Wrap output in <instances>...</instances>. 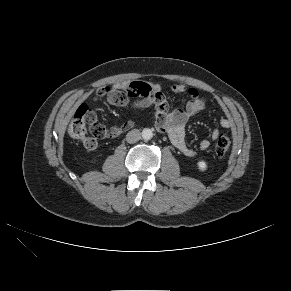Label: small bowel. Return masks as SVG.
<instances>
[{"instance_id":"1","label":"small bowel","mask_w":291,"mask_h":291,"mask_svg":"<svg viewBox=\"0 0 291 291\" xmlns=\"http://www.w3.org/2000/svg\"><path fill=\"white\" fill-rule=\"evenodd\" d=\"M170 92L185 94L189 101L184 108L170 111L165 93L158 85H149L139 81H124L115 83L111 87L101 88L97 91L96 97L105 96L107 103L117 107L145 108L154 105L156 108L155 127L159 132L168 134L171 143L185 156L192 157L195 151L186 142L185 125L190 117L203 110L207 104L206 97L199 94L195 88L184 84L171 86ZM222 128H229L231 121L227 118L220 120ZM219 131H212L211 138H217ZM210 140L203 139L199 148L206 150L210 147ZM97 143L92 140V146L84 144L88 149H94Z\"/></svg>"}]
</instances>
